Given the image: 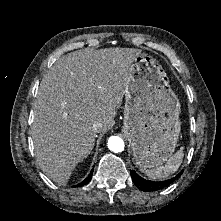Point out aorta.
I'll return each mask as SVG.
<instances>
[{
	"instance_id": "1",
	"label": "aorta",
	"mask_w": 221,
	"mask_h": 221,
	"mask_svg": "<svg viewBox=\"0 0 221 221\" xmlns=\"http://www.w3.org/2000/svg\"><path fill=\"white\" fill-rule=\"evenodd\" d=\"M107 145L109 150H111L114 153H119L124 150V141L118 136H111L108 139Z\"/></svg>"
}]
</instances>
